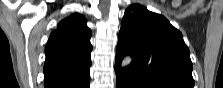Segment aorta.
I'll return each instance as SVG.
<instances>
[{
	"label": "aorta",
	"instance_id": "1",
	"mask_svg": "<svg viewBox=\"0 0 223 88\" xmlns=\"http://www.w3.org/2000/svg\"><path fill=\"white\" fill-rule=\"evenodd\" d=\"M131 62L130 56H126L121 62V68H125Z\"/></svg>",
	"mask_w": 223,
	"mask_h": 88
}]
</instances>
